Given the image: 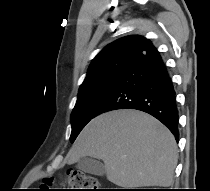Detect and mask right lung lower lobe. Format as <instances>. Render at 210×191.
Masks as SVG:
<instances>
[{
    "label": "right lung lower lobe",
    "instance_id": "right-lung-lower-lobe-1",
    "mask_svg": "<svg viewBox=\"0 0 210 191\" xmlns=\"http://www.w3.org/2000/svg\"><path fill=\"white\" fill-rule=\"evenodd\" d=\"M136 109L162 122L178 140L176 93L159 52L147 40L131 57L96 116L111 110Z\"/></svg>",
    "mask_w": 210,
    "mask_h": 191
}]
</instances>
